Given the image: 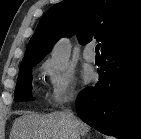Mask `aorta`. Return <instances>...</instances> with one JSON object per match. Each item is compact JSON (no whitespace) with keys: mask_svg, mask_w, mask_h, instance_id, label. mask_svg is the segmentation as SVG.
Returning <instances> with one entry per match:
<instances>
[{"mask_svg":"<svg viewBox=\"0 0 141 139\" xmlns=\"http://www.w3.org/2000/svg\"><path fill=\"white\" fill-rule=\"evenodd\" d=\"M51 58L54 65L63 69L68 64L70 58V43L66 39H62L55 44L51 52Z\"/></svg>","mask_w":141,"mask_h":139,"instance_id":"aorta-1","label":"aorta"}]
</instances>
